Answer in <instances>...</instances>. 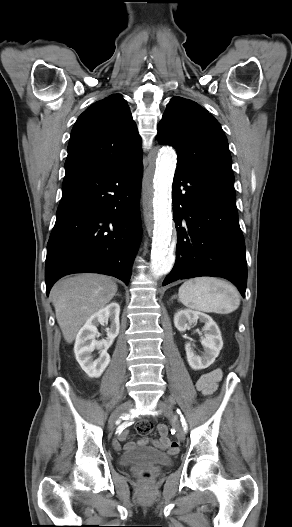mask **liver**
<instances>
[{
	"label": "liver",
	"mask_w": 292,
	"mask_h": 527,
	"mask_svg": "<svg viewBox=\"0 0 292 527\" xmlns=\"http://www.w3.org/2000/svg\"><path fill=\"white\" fill-rule=\"evenodd\" d=\"M117 289L110 277L92 273L61 279L52 287L51 301L67 343H72L82 325L113 299Z\"/></svg>",
	"instance_id": "1"
}]
</instances>
